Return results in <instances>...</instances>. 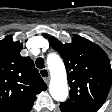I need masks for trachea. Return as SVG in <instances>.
<instances>
[{"mask_svg":"<svg viewBox=\"0 0 112 112\" xmlns=\"http://www.w3.org/2000/svg\"><path fill=\"white\" fill-rule=\"evenodd\" d=\"M36 67L39 68V69H42V68L45 67L44 59L43 58H38L36 60Z\"/></svg>","mask_w":112,"mask_h":112,"instance_id":"1","label":"trachea"}]
</instances>
